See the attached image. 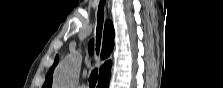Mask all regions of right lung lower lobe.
<instances>
[{
	"label": "right lung lower lobe",
	"instance_id": "obj_1",
	"mask_svg": "<svg viewBox=\"0 0 223 88\" xmlns=\"http://www.w3.org/2000/svg\"><path fill=\"white\" fill-rule=\"evenodd\" d=\"M109 78L99 80L98 81V88H108V86H109Z\"/></svg>",
	"mask_w": 223,
	"mask_h": 88
}]
</instances>
